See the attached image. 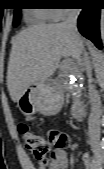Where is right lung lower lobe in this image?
<instances>
[{
	"instance_id": "obj_1",
	"label": "right lung lower lobe",
	"mask_w": 104,
	"mask_h": 169,
	"mask_svg": "<svg viewBox=\"0 0 104 169\" xmlns=\"http://www.w3.org/2000/svg\"><path fill=\"white\" fill-rule=\"evenodd\" d=\"M100 10L97 3H87L78 17V29L84 37L91 40L96 47L101 49L99 32Z\"/></svg>"
}]
</instances>
